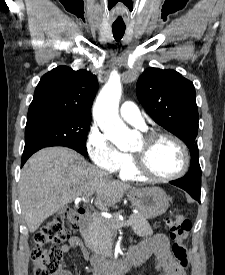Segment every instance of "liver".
<instances>
[{"label": "liver", "instance_id": "6515ba94", "mask_svg": "<svg viewBox=\"0 0 225 275\" xmlns=\"http://www.w3.org/2000/svg\"><path fill=\"white\" fill-rule=\"evenodd\" d=\"M135 189L110 179L83 156L66 147H48L33 154L22 169L19 197L30 233L51 215L77 198L96 194L101 210L117 204L124 193Z\"/></svg>", "mask_w": 225, "mask_h": 275}]
</instances>
